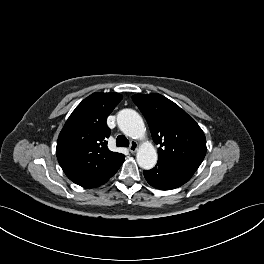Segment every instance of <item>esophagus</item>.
I'll list each match as a JSON object with an SVG mask.
<instances>
[{"instance_id":"1","label":"esophagus","mask_w":264,"mask_h":264,"mask_svg":"<svg viewBox=\"0 0 264 264\" xmlns=\"http://www.w3.org/2000/svg\"><path fill=\"white\" fill-rule=\"evenodd\" d=\"M138 149V143L136 141H132L129 146V151L131 153H135Z\"/></svg>"}]
</instances>
